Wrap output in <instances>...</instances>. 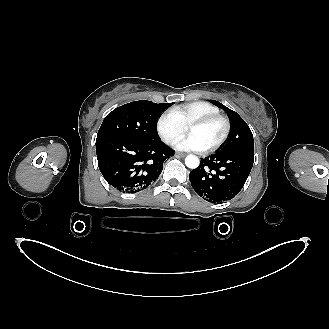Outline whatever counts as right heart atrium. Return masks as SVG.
<instances>
[{"label":"right heart atrium","mask_w":329,"mask_h":329,"mask_svg":"<svg viewBox=\"0 0 329 329\" xmlns=\"http://www.w3.org/2000/svg\"><path fill=\"white\" fill-rule=\"evenodd\" d=\"M184 131V125L172 110L160 114L156 120V132L161 140L167 145L174 144L180 137H182Z\"/></svg>","instance_id":"d8ad5b80"}]
</instances>
